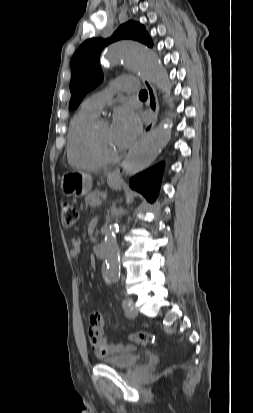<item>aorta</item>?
<instances>
[{
  "label": "aorta",
  "instance_id": "762f6f07",
  "mask_svg": "<svg viewBox=\"0 0 253 413\" xmlns=\"http://www.w3.org/2000/svg\"><path fill=\"white\" fill-rule=\"evenodd\" d=\"M105 57L110 62L122 61L129 69L139 72L154 82L158 88L167 93L170 83L167 73L157 55L147 46L132 40H121L107 48ZM172 105V100H170ZM171 137L170 121L159 124L157 128L146 134L134 147L125 163V173L133 176L149 166L158 156L160 150ZM104 250L106 255V278L117 282L120 275L118 259L116 224H110L105 232Z\"/></svg>",
  "mask_w": 253,
  "mask_h": 413
}]
</instances>
